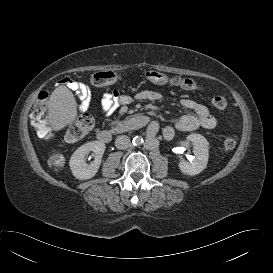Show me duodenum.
I'll return each mask as SVG.
<instances>
[{"label": "duodenum", "instance_id": "1", "mask_svg": "<svg viewBox=\"0 0 273 273\" xmlns=\"http://www.w3.org/2000/svg\"><path fill=\"white\" fill-rule=\"evenodd\" d=\"M148 123V118L143 115H136L118 122L110 129H102L97 133V138L102 143H110L114 136L139 129Z\"/></svg>", "mask_w": 273, "mask_h": 273}]
</instances>
